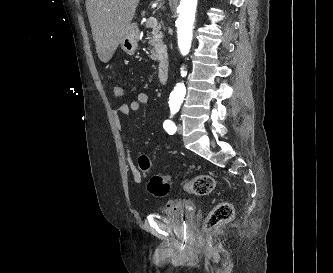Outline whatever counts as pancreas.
Masks as SVG:
<instances>
[{
    "mask_svg": "<svg viewBox=\"0 0 333 273\" xmlns=\"http://www.w3.org/2000/svg\"><path fill=\"white\" fill-rule=\"evenodd\" d=\"M148 39H149V44L151 45V49H150V58L157 61L159 60L161 57L165 56L167 51H166V46L163 43V35L160 32L159 29H154L151 32V35H148Z\"/></svg>",
    "mask_w": 333,
    "mask_h": 273,
    "instance_id": "obj_1",
    "label": "pancreas"
}]
</instances>
